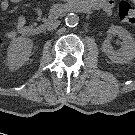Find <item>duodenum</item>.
Wrapping results in <instances>:
<instances>
[{
	"label": "duodenum",
	"mask_w": 135,
	"mask_h": 135,
	"mask_svg": "<svg viewBox=\"0 0 135 135\" xmlns=\"http://www.w3.org/2000/svg\"><path fill=\"white\" fill-rule=\"evenodd\" d=\"M65 9L67 11H79L82 13H88L91 9L85 2L81 0H67L65 3ZM44 31L42 26H37L34 28H28L26 34L30 35H40Z\"/></svg>",
	"instance_id": "410a0bca"
}]
</instances>
